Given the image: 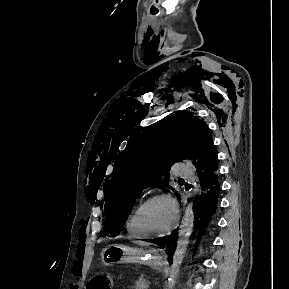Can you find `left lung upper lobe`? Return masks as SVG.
Instances as JSON below:
<instances>
[{"instance_id": "left-lung-upper-lobe-1", "label": "left lung upper lobe", "mask_w": 289, "mask_h": 289, "mask_svg": "<svg viewBox=\"0 0 289 289\" xmlns=\"http://www.w3.org/2000/svg\"><path fill=\"white\" fill-rule=\"evenodd\" d=\"M214 148L206 123L188 111L166 117L131 138L104 190L106 222L100 236L119 235L143 189H172L168 171L174 163L197 155L200 167Z\"/></svg>"}]
</instances>
